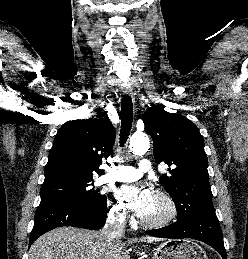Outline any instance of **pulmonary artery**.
Wrapping results in <instances>:
<instances>
[{
  "mask_svg": "<svg viewBox=\"0 0 248 259\" xmlns=\"http://www.w3.org/2000/svg\"><path fill=\"white\" fill-rule=\"evenodd\" d=\"M151 170V162L143 158L139 162L138 168L131 166H114L109 169V172L98 178V184L110 182H132L142 177L144 173Z\"/></svg>",
  "mask_w": 248,
  "mask_h": 259,
  "instance_id": "obj_1",
  "label": "pulmonary artery"
}]
</instances>
